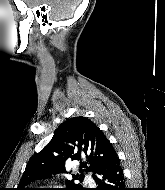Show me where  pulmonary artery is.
<instances>
[{
  "instance_id": "e3ab8cb5",
  "label": "pulmonary artery",
  "mask_w": 165,
  "mask_h": 190,
  "mask_svg": "<svg viewBox=\"0 0 165 190\" xmlns=\"http://www.w3.org/2000/svg\"><path fill=\"white\" fill-rule=\"evenodd\" d=\"M86 181H87L90 185H93V180H92L90 177H87V178H86Z\"/></svg>"
}]
</instances>
